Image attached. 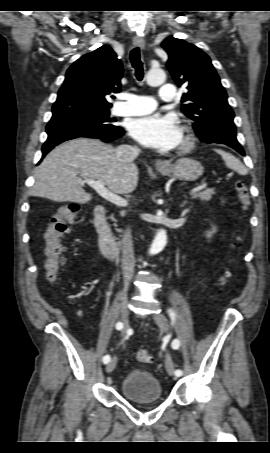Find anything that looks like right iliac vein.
Wrapping results in <instances>:
<instances>
[{
  "label": "right iliac vein",
  "instance_id": "63e3f726",
  "mask_svg": "<svg viewBox=\"0 0 270 453\" xmlns=\"http://www.w3.org/2000/svg\"><path fill=\"white\" fill-rule=\"evenodd\" d=\"M129 312H128V307H127V287L124 289V294L122 297V302L120 306V319L122 323L124 324V330L122 331V336H124L126 329L129 326V320H128ZM117 359L114 357L107 365L105 368L106 373L112 372L115 367H116Z\"/></svg>",
  "mask_w": 270,
  "mask_h": 453
}]
</instances>
